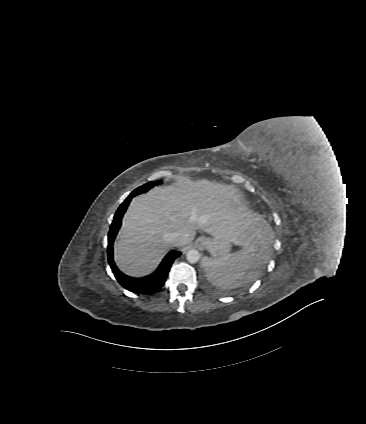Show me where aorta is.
Segmentation results:
<instances>
[{"label":"aorta","instance_id":"obj_1","mask_svg":"<svg viewBox=\"0 0 366 424\" xmlns=\"http://www.w3.org/2000/svg\"><path fill=\"white\" fill-rule=\"evenodd\" d=\"M186 259L189 263H197L200 259V253L196 249H190L186 254Z\"/></svg>","mask_w":366,"mask_h":424}]
</instances>
